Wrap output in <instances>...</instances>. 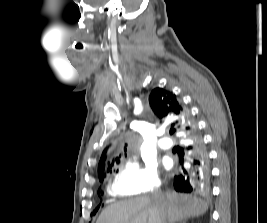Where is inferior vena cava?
I'll return each mask as SVG.
<instances>
[{"label":"inferior vena cava","instance_id":"obj_1","mask_svg":"<svg viewBox=\"0 0 267 223\" xmlns=\"http://www.w3.org/2000/svg\"><path fill=\"white\" fill-rule=\"evenodd\" d=\"M163 194L160 191H156L154 194V199L160 204L162 201ZM161 223H166V215L164 212H162L161 215Z\"/></svg>","mask_w":267,"mask_h":223}]
</instances>
